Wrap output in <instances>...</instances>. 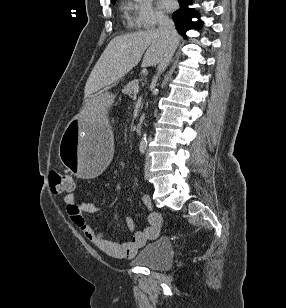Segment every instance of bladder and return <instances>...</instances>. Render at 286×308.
<instances>
[{
	"instance_id": "31cf9c89",
	"label": "bladder",
	"mask_w": 286,
	"mask_h": 308,
	"mask_svg": "<svg viewBox=\"0 0 286 308\" xmlns=\"http://www.w3.org/2000/svg\"><path fill=\"white\" fill-rule=\"evenodd\" d=\"M173 262V244L168 238L146 244L131 260L136 266L149 267L152 269H165Z\"/></svg>"
}]
</instances>
